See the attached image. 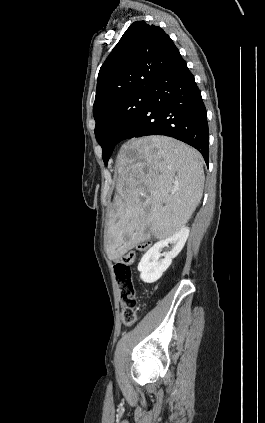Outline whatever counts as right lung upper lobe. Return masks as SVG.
I'll use <instances>...</instances> for the list:
<instances>
[{
	"instance_id": "1",
	"label": "right lung upper lobe",
	"mask_w": 265,
	"mask_h": 423,
	"mask_svg": "<svg viewBox=\"0 0 265 423\" xmlns=\"http://www.w3.org/2000/svg\"><path fill=\"white\" fill-rule=\"evenodd\" d=\"M178 53L163 29L145 21L134 22L100 68L94 118L119 100L135 92L150 90Z\"/></svg>"
}]
</instances>
